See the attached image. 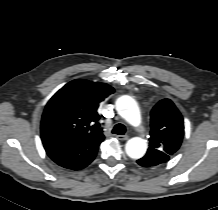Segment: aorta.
<instances>
[{
    "instance_id": "aorta-1",
    "label": "aorta",
    "mask_w": 218,
    "mask_h": 210,
    "mask_svg": "<svg viewBox=\"0 0 218 210\" xmlns=\"http://www.w3.org/2000/svg\"><path fill=\"white\" fill-rule=\"evenodd\" d=\"M116 109L119 115L132 126H138L141 123V114L136 101L127 95L121 96L116 101ZM147 150L146 140L140 137H134L127 141L125 151L132 159L142 158Z\"/></svg>"
}]
</instances>
